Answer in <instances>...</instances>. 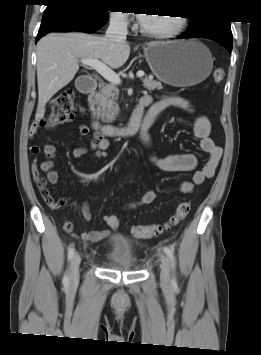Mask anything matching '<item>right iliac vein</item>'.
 Listing matches in <instances>:
<instances>
[{
    "label": "right iliac vein",
    "instance_id": "obj_1",
    "mask_svg": "<svg viewBox=\"0 0 261 355\" xmlns=\"http://www.w3.org/2000/svg\"><path fill=\"white\" fill-rule=\"evenodd\" d=\"M81 258L79 254H75L70 264V285L76 286L79 282V266Z\"/></svg>",
    "mask_w": 261,
    "mask_h": 355
}]
</instances>
